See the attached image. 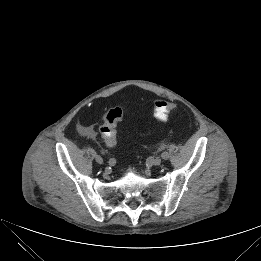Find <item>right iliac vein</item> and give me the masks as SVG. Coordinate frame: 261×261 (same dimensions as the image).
Returning <instances> with one entry per match:
<instances>
[{
  "label": "right iliac vein",
  "mask_w": 261,
  "mask_h": 261,
  "mask_svg": "<svg viewBox=\"0 0 261 261\" xmlns=\"http://www.w3.org/2000/svg\"><path fill=\"white\" fill-rule=\"evenodd\" d=\"M95 161H96V163H98L99 165H103V164H104L103 158H102L101 156H99V155H96V156H95Z\"/></svg>",
  "instance_id": "1"
}]
</instances>
